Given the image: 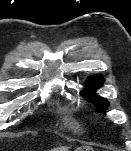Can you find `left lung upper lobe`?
Returning <instances> with one entry per match:
<instances>
[{
	"mask_svg": "<svg viewBox=\"0 0 131 151\" xmlns=\"http://www.w3.org/2000/svg\"><path fill=\"white\" fill-rule=\"evenodd\" d=\"M103 81L104 79L99 75L89 77L87 79V88L82 92V95L95 104L100 112L105 113L109 106V102L93 92L94 89L101 87Z\"/></svg>",
	"mask_w": 131,
	"mask_h": 151,
	"instance_id": "1",
	"label": "left lung upper lobe"
}]
</instances>
